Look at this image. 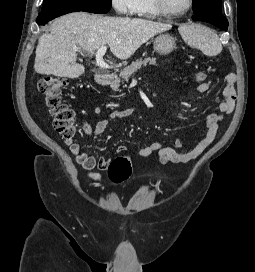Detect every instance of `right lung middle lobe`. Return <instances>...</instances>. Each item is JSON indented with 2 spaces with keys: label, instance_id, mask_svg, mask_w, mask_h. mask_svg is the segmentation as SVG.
<instances>
[{
  "label": "right lung middle lobe",
  "instance_id": "1",
  "mask_svg": "<svg viewBox=\"0 0 255 272\" xmlns=\"http://www.w3.org/2000/svg\"><path fill=\"white\" fill-rule=\"evenodd\" d=\"M79 10L106 14L111 9V0H44L42 10Z\"/></svg>",
  "mask_w": 255,
  "mask_h": 272
}]
</instances>
